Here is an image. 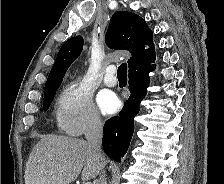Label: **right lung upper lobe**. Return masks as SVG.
<instances>
[{
    "instance_id": "right-lung-upper-lobe-1",
    "label": "right lung upper lobe",
    "mask_w": 224,
    "mask_h": 184,
    "mask_svg": "<svg viewBox=\"0 0 224 184\" xmlns=\"http://www.w3.org/2000/svg\"><path fill=\"white\" fill-rule=\"evenodd\" d=\"M152 31L144 19L127 11H117L113 14L105 41L111 49L128 50L131 58L127 61L129 74L151 65L155 60ZM83 37L68 39L60 48L55 63L45 84L44 93L57 90L66 70L80 55L83 48ZM149 45V49H145Z\"/></svg>"
}]
</instances>
